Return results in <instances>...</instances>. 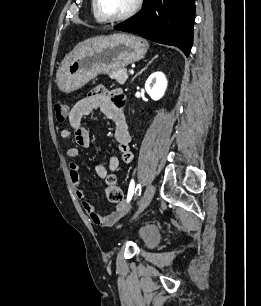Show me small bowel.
<instances>
[{"label":"small bowel","mask_w":261,"mask_h":306,"mask_svg":"<svg viewBox=\"0 0 261 306\" xmlns=\"http://www.w3.org/2000/svg\"><path fill=\"white\" fill-rule=\"evenodd\" d=\"M95 110H100L114 123V138L118 144L120 155L119 157L111 156L108 159L107 167L100 163L95 165L97 176L104 179L109 173L116 172L121 162L129 164L133 159L130 148L131 134L121 91H109L104 87L95 88L73 106L68 116L70 128L63 129L60 135L64 140H75L77 146L70 147L66 151V156L69 159H75L79 155V147L88 148L90 146V135L82 125V120ZM69 175L76 196L81 201L85 212L94 224L101 227L112 226L129 211V207L125 204H120L106 215L98 213L86 200L84 190L81 187L79 165L77 163L71 162L69 164Z\"/></svg>","instance_id":"c3829d8e"}]
</instances>
